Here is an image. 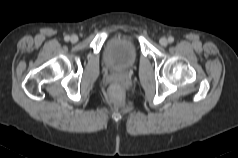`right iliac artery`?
<instances>
[{
    "label": "right iliac artery",
    "mask_w": 238,
    "mask_h": 158,
    "mask_svg": "<svg viewBox=\"0 0 238 158\" xmlns=\"http://www.w3.org/2000/svg\"><path fill=\"white\" fill-rule=\"evenodd\" d=\"M69 39H70V37H69L68 35H66V36L64 37V40H65V41H69Z\"/></svg>",
    "instance_id": "obj_1"
}]
</instances>
